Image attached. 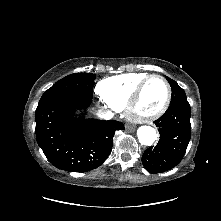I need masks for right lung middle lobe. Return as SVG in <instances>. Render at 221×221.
I'll list each match as a JSON object with an SVG mask.
<instances>
[{
    "label": "right lung middle lobe",
    "mask_w": 221,
    "mask_h": 221,
    "mask_svg": "<svg viewBox=\"0 0 221 221\" xmlns=\"http://www.w3.org/2000/svg\"><path fill=\"white\" fill-rule=\"evenodd\" d=\"M94 74L75 73L57 81L51 88L42 95L39 104L42 105L61 97L93 98Z\"/></svg>",
    "instance_id": "dd1d6c3e"
}]
</instances>
